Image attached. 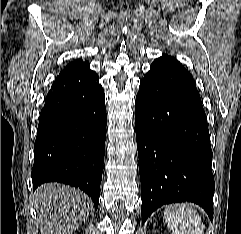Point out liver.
<instances>
[{
	"mask_svg": "<svg viewBox=\"0 0 241 234\" xmlns=\"http://www.w3.org/2000/svg\"><path fill=\"white\" fill-rule=\"evenodd\" d=\"M33 198L42 234H72L92 210V201L86 194L58 183L41 185Z\"/></svg>",
	"mask_w": 241,
	"mask_h": 234,
	"instance_id": "6515ba94",
	"label": "liver"
}]
</instances>
